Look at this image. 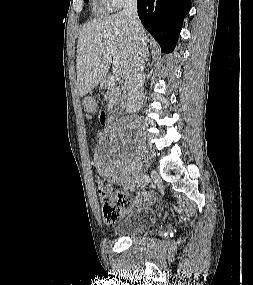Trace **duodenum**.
Instances as JSON below:
<instances>
[{
    "mask_svg": "<svg viewBox=\"0 0 253 285\" xmlns=\"http://www.w3.org/2000/svg\"><path fill=\"white\" fill-rule=\"evenodd\" d=\"M111 86V82L109 80H103L101 83L102 88H109ZM118 112V109L113 107L108 110V118L113 119L115 114Z\"/></svg>",
    "mask_w": 253,
    "mask_h": 285,
    "instance_id": "duodenum-1",
    "label": "duodenum"
}]
</instances>
